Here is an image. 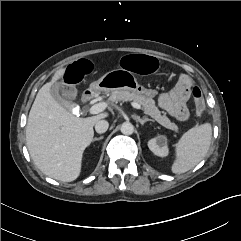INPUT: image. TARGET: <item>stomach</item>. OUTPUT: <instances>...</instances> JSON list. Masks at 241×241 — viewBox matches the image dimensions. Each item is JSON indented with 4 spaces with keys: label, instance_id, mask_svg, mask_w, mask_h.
<instances>
[{
    "label": "stomach",
    "instance_id": "0dacf381",
    "mask_svg": "<svg viewBox=\"0 0 241 241\" xmlns=\"http://www.w3.org/2000/svg\"><path fill=\"white\" fill-rule=\"evenodd\" d=\"M90 89L94 92H111L123 89L151 98L157 95L156 90L146 89L137 82L132 71H126L123 68L107 72L97 81L91 83Z\"/></svg>",
    "mask_w": 241,
    "mask_h": 241
}]
</instances>
